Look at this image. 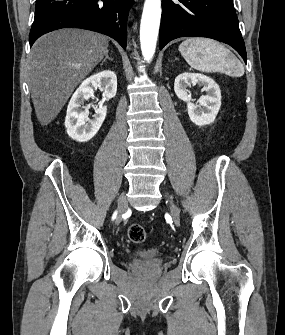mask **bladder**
<instances>
[{
    "label": "bladder",
    "mask_w": 285,
    "mask_h": 335,
    "mask_svg": "<svg viewBox=\"0 0 285 335\" xmlns=\"http://www.w3.org/2000/svg\"><path fill=\"white\" fill-rule=\"evenodd\" d=\"M160 255H161V252H159L155 248H150V249L145 248V249H142L134 253V256L140 261L156 260L157 258H159Z\"/></svg>",
    "instance_id": "31cf9c89"
}]
</instances>
